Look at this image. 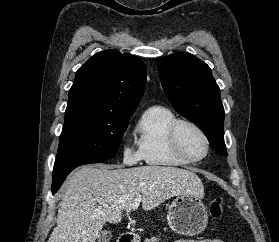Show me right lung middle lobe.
Instances as JSON below:
<instances>
[{"label":"right lung middle lobe","mask_w":279,"mask_h":242,"mask_svg":"<svg viewBox=\"0 0 279 242\" xmlns=\"http://www.w3.org/2000/svg\"><path fill=\"white\" fill-rule=\"evenodd\" d=\"M130 117L94 118L80 113L65 115L53 169V182L80 165L115 156Z\"/></svg>","instance_id":"dd1d6c3e"}]
</instances>
